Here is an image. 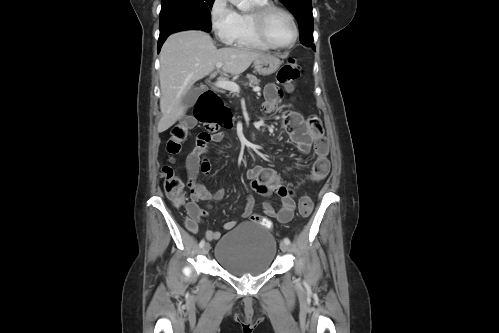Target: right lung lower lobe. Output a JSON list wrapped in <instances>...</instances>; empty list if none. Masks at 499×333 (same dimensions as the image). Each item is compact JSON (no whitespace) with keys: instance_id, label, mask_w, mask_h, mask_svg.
I'll use <instances>...</instances> for the list:
<instances>
[{"instance_id":"1","label":"right lung lower lobe","mask_w":499,"mask_h":333,"mask_svg":"<svg viewBox=\"0 0 499 333\" xmlns=\"http://www.w3.org/2000/svg\"><path fill=\"white\" fill-rule=\"evenodd\" d=\"M168 36H164V37H159V40H158V52L160 51L161 49V46L163 45L164 41L167 39Z\"/></svg>"}]
</instances>
